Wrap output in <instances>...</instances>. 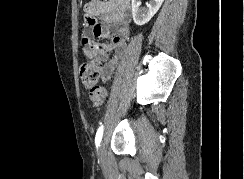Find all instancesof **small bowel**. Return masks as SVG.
<instances>
[{
  "mask_svg": "<svg viewBox=\"0 0 244 179\" xmlns=\"http://www.w3.org/2000/svg\"><path fill=\"white\" fill-rule=\"evenodd\" d=\"M132 18L129 3L121 0H92L84 6L81 45L84 55L101 65V78L111 79L124 58ZM111 38L109 42L95 39Z\"/></svg>",
  "mask_w": 244,
  "mask_h": 179,
  "instance_id": "obj_1",
  "label": "small bowel"
}]
</instances>
